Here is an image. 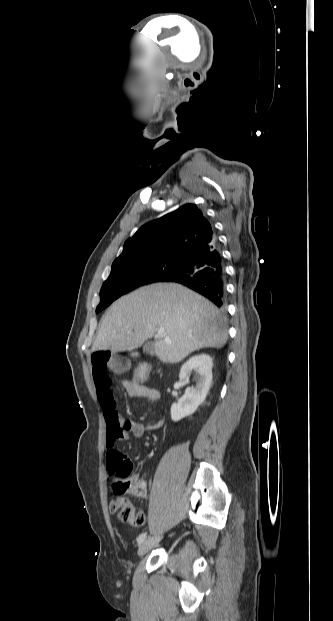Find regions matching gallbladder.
Returning a JSON list of instances; mask_svg holds the SVG:
<instances>
[{
	"instance_id": "bac80fb5",
	"label": "gallbladder",
	"mask_w": 333,
	"mask_h": 621,
	"mask_svg": "<svg viewBox=\"0 0 333 621\" xmlns=\"http://www.w3.org/2000/svg\"><path fill=\"white\" fill-rule=\"evenodd\" d=\"M143 352L153 354L154 353V345L152 343H147L143 346Z\"/></svg>"
}]
</instances>
